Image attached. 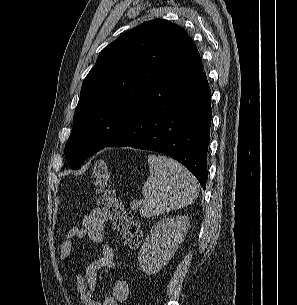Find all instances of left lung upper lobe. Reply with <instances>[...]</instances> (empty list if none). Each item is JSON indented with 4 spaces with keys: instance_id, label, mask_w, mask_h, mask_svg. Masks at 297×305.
I'll list each match as a JSON object with an SVG mask.
<instances>
[{
    "instance_id": "obj_1",
    "label": "left lung upper lobe",
    "mask_w": 297,
    "mask_h": 305,
    "mask_svg": "<svg viewBox=\"0 0 297 305\" xmlns=\"http://www.w3.org/2000/svg\"><path fill=\"white\" fill-rule=\"evenodd\" d=\"M202 69L200 54L180 26L153 19L105 47L86 76L65 145L72 169L116 136L132 108L155 86Z\"/></svg>"
}]
</instances>
